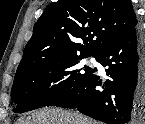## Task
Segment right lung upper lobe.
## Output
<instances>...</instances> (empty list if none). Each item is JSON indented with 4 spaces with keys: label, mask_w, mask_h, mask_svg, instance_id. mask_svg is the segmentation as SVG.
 Segmentation results:
<instances>
[{
    "label": "right lung upper lobe",
    "mask_w": 145,
    "mask_h": 124,
    "mask_svg": "<svg viewBox=\"0 0 145 124\" xmlns=\"http://www.w3.org/2000/svg\"><path fill=\"white\" fill-rule=\"evenodd\" d=\"M137 25L131 0H58L36 22L15 77L46 60L97 55Z\"/></svg>",
    "instance_id": "1"
}]
</instances>
